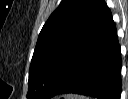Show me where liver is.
Masks as SVG:
<instances>
[{"label":"liver","instance_id":"1","mask_svg":"<svg viewBox=\"0 0 128 99\" xmlns=\"http://www.w3.org/2000/svg\"><path fill=\"white\" fill-rule=\"evenodd\" d=\"M65 98H67V99H84L83 97L76 96V95H67Z\"/></svg>","mask_w":128,"mask_h":99}]
</instances>
